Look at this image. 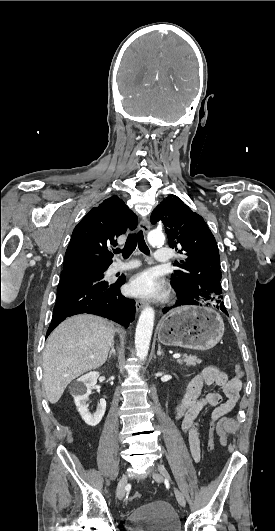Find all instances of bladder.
Listing matches in <instances>:
<instances>
[{"label":"bladder","mask_w":275,"mask_h":531,"mask_svg":"<svg viewBox=\"0 0 275 531\" xmlns=\"http://www.w3.org/2000/svg\"><path fill=\"white\" fill-rule=\"evenodd\" d=\"M127 526L134 528V531H181L180 519L166 501L135 507Z\"/></svg>","instance_id":"bladder-1"}]
</instances>
